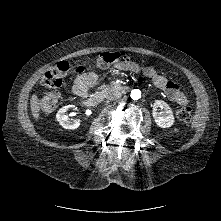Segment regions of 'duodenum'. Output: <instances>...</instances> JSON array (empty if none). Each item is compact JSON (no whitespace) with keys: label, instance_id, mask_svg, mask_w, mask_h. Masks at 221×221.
<instances>
[{"label":"duodenum","instance_id":"1","mask_svg":"<svg viewBox=\"0 0 221 221\" xmlns=\"http://www.w3.org/2000/svg\"><path fill=\"white\" fill-rule=\"evenodd\" d=\"M114 89H120L119 87H109V88H105L99 92H97L96 94L94 95H85V96H82L83 98V102L86 104V105H95V104H98L100 103L103 98L112 90Z\"/></svg>","mask_w":221,"mask_h":221}]
</instances>
